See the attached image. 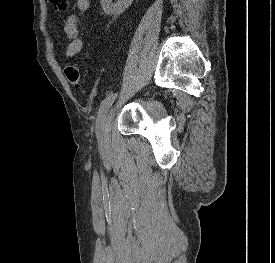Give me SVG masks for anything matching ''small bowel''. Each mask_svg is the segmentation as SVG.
<instances>
[{"mask_svg":"<svg viewBox=\"0 0 275 263\" xmlns=\"http://www.w3.org/2000/svg\"><path fill=\"white\" fill-rule=\"evenodd\" d=\"M90 5V0H77V8L81 11L89 9ZM63 29L69 41L65 54L68 58H72L79 54L84 46L83 40L80 37L77 17L75 15L69 16L64 23Z\"/></svg>","mask_w":275,"mask_h":263,"instance_id":"obj_1","label":"small bowel"}]
</instances>
